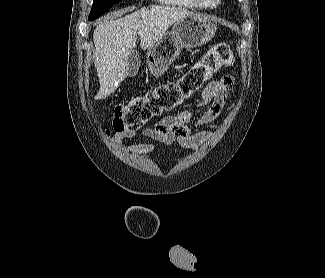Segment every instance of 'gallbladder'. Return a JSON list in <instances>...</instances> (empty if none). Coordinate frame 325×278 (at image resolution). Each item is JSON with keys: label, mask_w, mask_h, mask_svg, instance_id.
<instances>
[{"label": "gallbladder", "mask_w": 325, "mask_h": 278, "mask_svg": "<svg viewBox=\"0 0 325 278\" xmlns=\"http://www.w3.org/2000/svg\"><path fill=\"white\" fill-rule=\"evenodd\" d=\"M128 76L133 77L138 73L140 66L139 53L133 50L128 57Z\"/></svg>", "instance_id": "gallbladder-1"}]
</instances>
